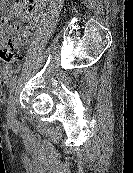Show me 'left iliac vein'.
Instances as JSON below:
<instances>
[{
	"label": "left iliac vein",
	"mask_w": 133,
	"mask_h": 173,
	"mask_svg": "<svg viewBox=\"0 0 133 173\" xmlns=\"http://www.w3.org/2000/svg\"><path fill=\"white\" fill-rule=\"evenodd\" d=\"M7 122L8 124L16 123V107H15V98L13 95H10L8 99V107H7Z\"/></svg>",
	"instance_id": "obj_1"
}]
</instances>
